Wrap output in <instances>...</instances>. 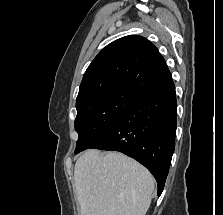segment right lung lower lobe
Segmentation results:
<instances>
[{
  "mask_svg": "<svg viewBox=\"0 0 223 215\" xmlns=\"http://www.w3.org/2000/svg\"><path fill=\"white\" fill-rule=\"evenodd\" d=\"M177 102L173 80L141 95L90 148L122 152L155 177L160 195L175 148Z\"/></svg>",
  "mask_w": 223,
  "mask_h": 215,
  "instance_id": "obj_1",
  "label": "right lung lower lobe"
}]
</instances>
